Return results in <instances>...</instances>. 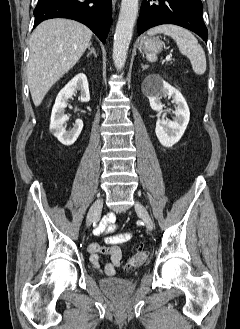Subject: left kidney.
<instances>
[{"label": "left kidney", "instance_id": "left-kidney-1", "mask_svg": "<svg viewBox=\"0 0 240 329\" xmlns=\"http://www.w3.org/2000/svg\"><path fill=\"white\" fill-rule=\"evenodd\" d=\"M142 89L149 99L151 108L158 113L163 112L161 98L167 96L173 98L176 104L173 111L175 117L173 120L165 119L166 113H164L162 118L157 119L155 128L159 142L165 147H172L183 136L190 119L189 108L184 97L158 74L146 77ZM167 111L170 112V109Z\"/></svg>", "mask_w": 240, "mask_h": 329}]
</instances>
